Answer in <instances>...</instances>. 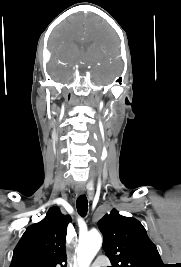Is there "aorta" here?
Returning <instances> with one entry per match:
<instances>
[{"label": "aorta", "instance_id": "aorta-1", "mask_svg": "<svg viewBox=\"0 0 181 267\" xmlns=\"http://www.w3.org/2000/svg\"><path fill=\"white\" fill-rule=\"evenodd\" d=\"M102 246V236L98 231H91L79 239L77 258L79 267H89Z\"/></svg>", "mask_w": 181, "mask_h": 267}]
</instances>
